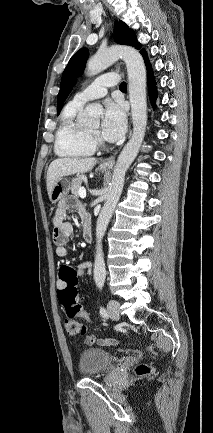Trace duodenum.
Listing matches in <instances>:
<instances>
[{"label":"duodenum","instance_id":"410a0bca","mask_svg":"<svg viewBox=\"0 0 213 433\" xmlns=\"http://www.w3.org/2000/svg\"><path fill=\"white\" fill-rule=\"evenodd\" d=\"M83 236L86 242L90 243L93 240V235L90 226L83 227Z\"/></svg>","mask_w":213,"mask_h":433}]
</instances>
